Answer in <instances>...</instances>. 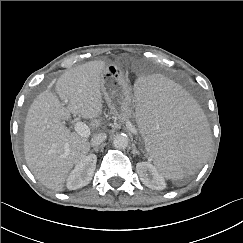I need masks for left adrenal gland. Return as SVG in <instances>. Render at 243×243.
<instances>
[{
    "mask_svg": "<svg viewBox=\"0 0 243 243\" xmlns=\"http://www.w3.org/2000/svg\"><path fill=\"white\" fill-rule=\"evenodd\" d=\"M133 154H134V155H139V152H138V150L136 149L135 146L133 147Z\"/></svg>",
    "mask_w": 243,
    "mask_h": 243,
    "instance_id": "1",
    "label": "left adrenal gland"
}]
</instances>
